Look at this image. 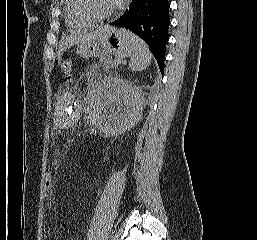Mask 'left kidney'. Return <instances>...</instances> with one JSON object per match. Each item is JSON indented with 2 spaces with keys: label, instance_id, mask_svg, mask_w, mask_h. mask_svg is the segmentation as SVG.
I'll return each instance as SVG.
<instances>
[{
  "label": "left kidney",
  "instance_id": "5707ae66",
  "mask_svg": "<svg viewBox=\"0 0 257 240\" xmlns=\"http://www.w3.org/2000/svg\"><path fill=\"white\" fill-rule=\"evenodd\" d=\"M92 118L98 129L109 135L121 134L142 118L143 102L130 82L107 77L93 91Z\"/></svg>",
  "mask_w": 257,
  "mask_h": 240
}]
</instances>
